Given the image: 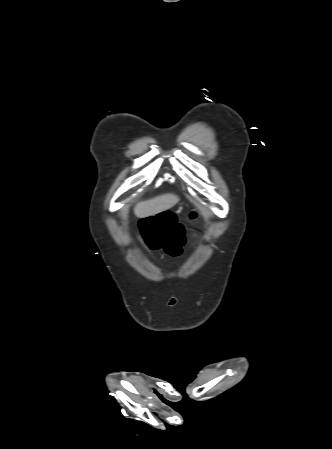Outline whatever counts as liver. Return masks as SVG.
Segmentation results:
<instances>
[{
    "instance_id": "1",
    "label": "liver",
    "mask_w": 332,
    "mask_h": 449,
    "mask_svg": "<svg viewBox=\"0 0 332 449\" xmlns=\"http://www.w3.org/2000/svg\"><path fill=\"white\" fill-rule=\"evenodd\" d=\"M179 202V197L174 194H163L149 200L141 201L134 207V214L139 218L156 215L172 208Z\"/></svg>"
}]
</instances>
